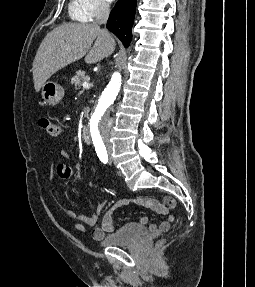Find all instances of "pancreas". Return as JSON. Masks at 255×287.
I'll return each instance as SVG.
<instances>
[{
	"instance_id": "obj_1",
	"label": "pancreas",
	"mask_w": 255,
	"mask_h": 287,
	"mask_svg": "<svg viewBox=\"0 0 255 287\" xmlns=\"http://www.w3.org/2000/svg\"><path fill=\"white\" fill-rule=\"evenodd\" d=\"M85 74L86 72H82V70H78V72H76V76H73L71 80V84H74L75 90H79L80 86H82L84 82H89L90 78L89 76H85ZM86 90H89V88H86Z\"/></svg>"
}]
</instances>
